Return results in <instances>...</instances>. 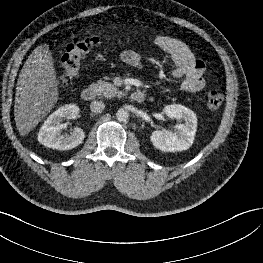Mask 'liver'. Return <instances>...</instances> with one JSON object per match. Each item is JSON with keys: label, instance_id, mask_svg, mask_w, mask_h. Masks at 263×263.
Here are the masks:
<instances>
[{"label": "liver", "instance_id": "obj_1", "mask_svg": "<svg viewBox=\"0 0 263 263\" xmlns=\"http://www.w3.org/2000/svg\"><path fill=\"white\" fill-rule=\"evenodd\" d=\"M59 81L48 45H39L19 74L14 119L21 136L27 135L58 101Z\"/></svg>", "mask_w": 263, "mask_h": 263}]
</instances>
